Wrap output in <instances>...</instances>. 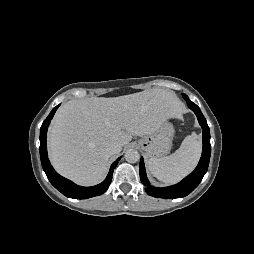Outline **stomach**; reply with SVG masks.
I'll list each match as a JSON object with an SVG mask.
<instances>
[{
	"label": "stomach",
	"instance_id": "1",
	"mask_svg": "<svg viewBox=\"0 0 254 254\" xmlns=\"http://www.w3.org/2000/svg\"><path fill=\"white\" fill-rule=\"evenodd\" d=\"M174 134L173 125L165 121L154 133L142 137L138 144L149 158H161L169 153Z\"/></svg>",
	"mask_w": 254,
	"mask_h": 254
}]
</instances>
